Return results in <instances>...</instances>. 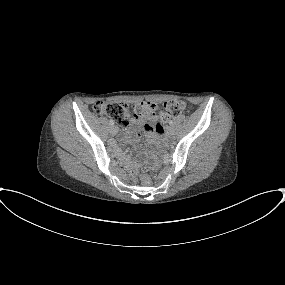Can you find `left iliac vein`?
Masks as SVG:
<instances>
[{
	"instance_id": "1",
	"label": "left iliac vein",
	"mask_w": 285,
	"mask_h": 285,
	"mask_svg": "<svg viewBox=\"0 0 285 285\" xmlns=\"http://www.w3.org/2000/svg\"><path fill=\"white\" fill-rule=\"evenodd\" d=\"M166 134L169 137H173L174 136V130H173V128L171 126L167 127Z\"/></svg>"
}]
</instances>
